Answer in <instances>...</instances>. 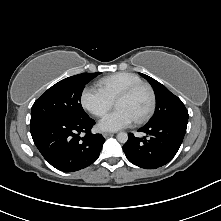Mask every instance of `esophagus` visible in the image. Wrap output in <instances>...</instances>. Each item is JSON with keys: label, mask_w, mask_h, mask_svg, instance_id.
<instances>
[{"label": "esophagus", "mask_w": 221, "mask_h": 221, "mask_svg": "<svg viewBox=\"0 0 221 221\" xmlns=\"http://www.w3.org/2000/svg\"><path fill=\"white\" fill-rule=\"evenodd\" d=\"M102 135H103L105 138H107V137L113 135V133H111V132H103Z\"/></svg>", "instance_id": "1"}]
</instances>
